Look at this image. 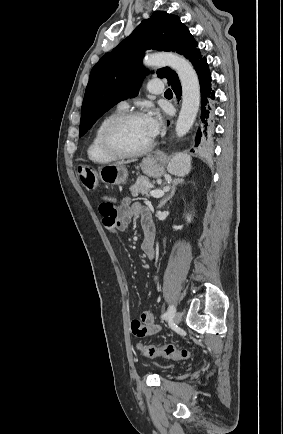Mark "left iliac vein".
<instances>
[{"instance_id": "1", "label": "left iliac vein", "mask_w": 283, "mask_h": 434, "mask_svg": "<svg viewBox=\"0 0 283 434\" xmlns=\"http://www.w3.org/2000/svg\"><path fill=\"white\" fill-rule=\"evenodd\" d=\"M181 320H182V314H181V312H176L175 315H174V322L176 324H180Z\"/></svg>"}]
</instances>
